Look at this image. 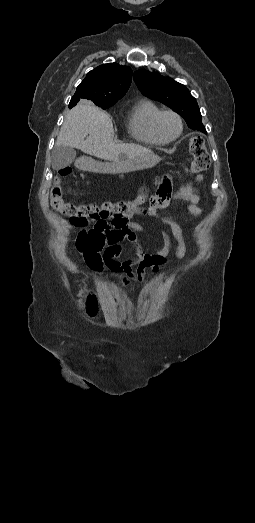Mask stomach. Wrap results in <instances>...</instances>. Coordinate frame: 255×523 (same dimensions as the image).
<instances>
[{
  "label": "stomach",
  "mask_w": 255,
  "mask_h": 523,
  "mask_svg": "<svg viewBox=\"0 0 255 523\" xmlns=\"http://www.w3.org/2000/svg\"><path fill=\"white\" fill-rule=\"evenodd\" d=\"M158 159L152 153H149L146 158H135V160H127L124 164L110 165L108 167V174L110 176H119L121 172H136V170H146L157 166Z\"/></svg>",
  "instance_id": "1"
}]
</instances>
